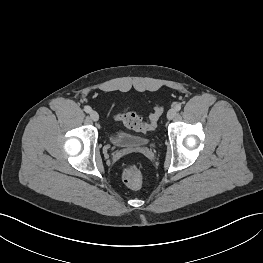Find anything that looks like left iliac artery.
I'll return each mask as SVG.
<instances>
[{
	"label": "left iliac artery",
	"mask_w": 263,
	"mask_h": 263,
	"mask_svg": "<svg viewBox=\"0 0 263 263\" xmlns=\"http://www.w3.org/2000/svg\"><path fill=\"white\" fill-rule=\"evenodd\" d=\"M175 110H176V111H180V110H181V104H176Z\"/></svg>",
	"instance_id": "1"
}]
</instances>
